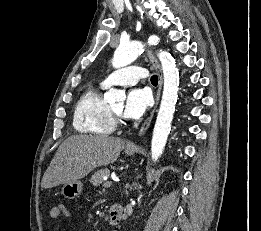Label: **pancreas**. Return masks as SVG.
I'll return each instance as SVG.
<instances>
[{
  "label": "pancreas",
  "instance_id": "1",
  "mask_svg": "<svg viewBox=\"0 0 261 231\" xmlns=\"http://www.w3.org/2000/svg\"><path fill=\"white\" fill-rule=\"evenodd\" d=\"M110 170L108 168L97 170L90 178V183L93 185H98L103 182L104 176H109Z\"/></svg>",
  "mask_w": 261,
  "mask_h": 231
}]
</instances>
